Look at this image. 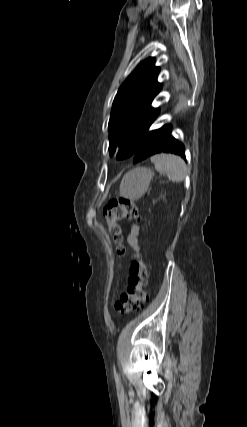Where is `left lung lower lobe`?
<instances>
[{"label":"left lung lower lobe","instance_id":"obj_1","mask_svg":"<svg viewBox=\"0 0 247 427\" xmlns=\"http://www.w3.org/2000/svg\"><path fill=\"white\" fill-rule=\"evenodd\" d=\"M171 130V125L152 131L148 129L137 147L133 162H141L162 152L174 153L186 160L184 145L171 135Z\"/></svg>","mask_w":247,"mask_h":427}]
</instances>
